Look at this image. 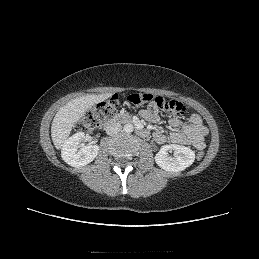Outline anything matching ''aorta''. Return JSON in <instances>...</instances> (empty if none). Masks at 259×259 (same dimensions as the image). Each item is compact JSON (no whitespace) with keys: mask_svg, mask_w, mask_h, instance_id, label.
<instances>
[{"mask_svg":"<svg viewBox=\"0 0 259 259\" xmlns=\"http://www.w3.org/2000/svg\"><path fill=\"white\" fill-rule=\"evenodd\" d=\"M124 131H125L126 133H131V132H133V125L130 124V123L125 124V125H124Z\"/></svg>","mask_w":259,"mask_h":259,"instance_id":"aorta-1","label":"aorta"}]
</instances>
